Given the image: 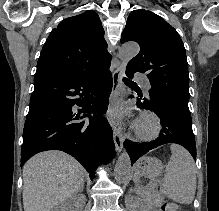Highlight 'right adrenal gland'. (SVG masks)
I'll list each match as a JSON object with an SVG mask.
<instances>
[{"instance_id":"1","label":"right adrenal gland","mask_w":219,"mask_h":211,"mask_svg":"<svg viewBox=\"0 0 219 211\" xmlns=\"http://www.w3.org/2000/svg\"><path fill=\"white\" fill-rule=\"evenodd\" d=\"M83 187H84V185H83ZM83 187H80V189H78V191H77L78 195H82ZM77 193H74V195H77Z\"/></svg>"}]
</instances>
